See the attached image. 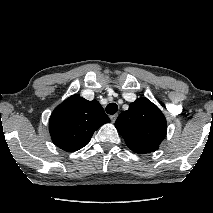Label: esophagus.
Returning a JSON list of instances; mask_svg holds the SVG:
<instances>
[{"label": "esophagus", "mask_w": 213, "mask_h": 213, "mask_svg": "<svg viewBox=\"0 0 213 213\" xmlns=\"http://www.w3.org/2000/svg\"><path fill=\"white\" fill-rule=\"evenodd\" d=\"M116 118H117V114H114V115H111V116H110V119H111V121H112L113 123L115 122Z\"/></svg>", "instance_id": "1"}]
</instances>
